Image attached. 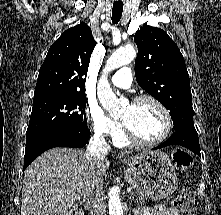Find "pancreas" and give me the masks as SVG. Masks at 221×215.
Segmentation results:
<instances>
[{
    "label": "pancreas",
    "mask_w": 221,
    "mask_h": 215,
    "mask_svg": "<svg viewBox=\"0 0 221 215\" xmlns=\"http://www.w3.org/2000/svg\"><path fill=\"white\" fill-rule=\"evenodd\" d=\"M133 197H136V199L134 200V203L136 205H143L145 203V199L143 196H141L139 193H133L132 194Z\"/></svg>",
    "instance_id": "pancreas-1"
}]
</instances>
